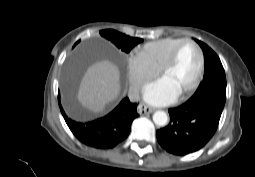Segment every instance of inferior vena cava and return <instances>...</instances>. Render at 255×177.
Returning <instances> with one entry per match:
<instances>
[{
	"label": "inferior vena cava",
	"mask_w": 255,
	"mask_h": 177,
	"mask_svg": "<svg viewBox=\"0 0 255 177\" xmlns=\"http://www.w3.org/2000/svg\"><path fill=\"white\" fill-rule=\"evenodd\" d=\"M139 91H140V86L130 87L128 95L131 101L135 102L140 99Z\"/></svg>",
	"instance_id": "1"
}]
</instances>
